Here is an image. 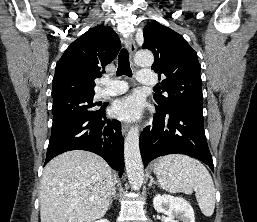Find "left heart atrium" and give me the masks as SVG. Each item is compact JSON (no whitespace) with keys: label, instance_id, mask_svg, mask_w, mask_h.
I'll list each match as a JSON object with an SVG mask.
<instances>
[{"label":"left heart atrium","instance_id":"39dd6f15","mask_svg":"<svg viewBox=\"0 0 257 222\" xmlns=\"http://www.w3.org/2000/svg\"><path fill=\"white\" fill-rule=\"evenodd\" d=\"M143 104L136 94L127 95L119 99L113 106L112 113L117 119L132 122L140 118Z\"/></svg>","mask_w":257,"mask_h":222}]
</instances>
